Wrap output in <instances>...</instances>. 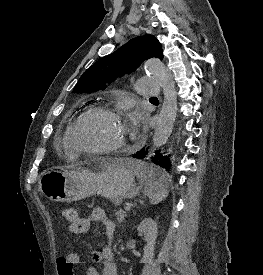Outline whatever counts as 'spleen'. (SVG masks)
<instances>
[{
    "mask_svg": "<svg viewBox=\"0 0 263 275\" xmlns=\"http://www.w3.org/2000/svg\"><path fill=\"white\" fill-rule=\"evenodd\" d=\"M128 166L137 176L139 183L144 185V193L151 204H158L168 196L164 185L153 178L151 170L143 162L130 160Z\"/></svg>",
    "mask_w": 263,
    "mask_h": 275,
    "instance_id": "spleen-1",
    "label": "spleen"
}]
</instances>
